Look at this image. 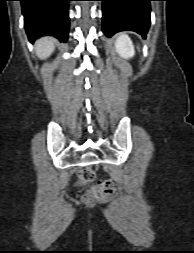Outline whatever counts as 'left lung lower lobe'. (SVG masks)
<instances>
[{"label": "left lung lower lobe", "mask_w": 194, "mask_h": 253, "mask_svg": "<svg viewBox=\"0 0 194 253\" xmlns=\"http://www.w3.org/2000/svg\"><path fill=\"white\" fill-rule=\"evenodd\" d=\"M103 2L102 28L108 37L119 31H135L146 37L150 26V1L100 0Z\"/></svg>", "instance_id": "left-lung-lower-lobe-1"}]
</instances>
